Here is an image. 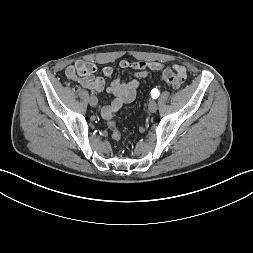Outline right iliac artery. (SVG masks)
Listing matches in <instances>:
<instances>
[{"label":"right iliac artery","instance_id":"1","mask_svg":"<svg viewBox=\"0 0 253 253\" xmlns=\"http://www.w3.org/2000/svg\"><path fill=\"white\" fill-rule=\"evenodd\" d=\"M95 94V91H91V95L93 96Z\"/></svg>","mask_w":253,"mask_h":253}]
</instances>
